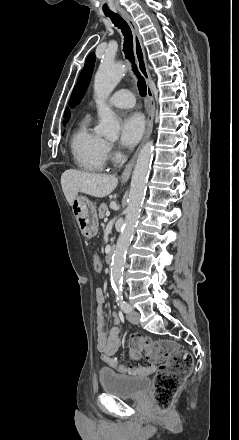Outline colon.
Wrapping results in <instances>:
<instances>
[{
    "label": "colon",
    "mask_w": 239,
    "mask_h": 440,
    "mask_svg": "<svg viewBox=\"0 0 239 440\" xmlns=\"http://www.w3.org/2000/svg\"><path fill=\"white\" fill-rule=\"evenodd\" d=\"M93 269L98 274L102 271L101 263L97 258L93 259ZM128 349L132 358H138L142 352H145L150 365L126 366L114 359L111 366L121 373H155L154 400L160 411L167 410L192 371L191 353L179 349L173 341H152L140 334H133L129 338Z\"/></svg>",
    "instance_id": "5ec220e1"
}]
</instances>
